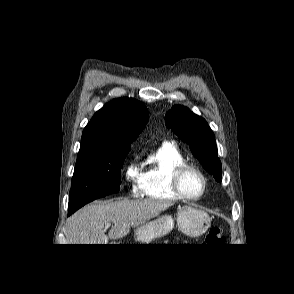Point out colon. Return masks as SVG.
Returning <instances> with one entry per match:
<instances>
[{"label":"colon","mask_w":294,"mask_h":294,"mask_svg":"<svg viewBox=\"0 0 294 294\" xmlns=\"http://www.w3.org/2000/svg\"><path fill=\"white\" fill-rule=\"evenodd\" d=\"M208 244L223 245L225 242L222 230L220 227H213L209 230L205 238Z\"/></svg>","instance_id":"1"}]
</instances>
